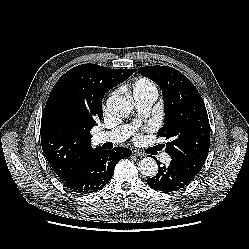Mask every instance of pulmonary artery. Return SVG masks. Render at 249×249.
Listing matches in <instances>:
<instances>
[{"instance_id": "e3ab8cb5", "label": "pulmonary artery", "mask_w": 249, "mask_h": 249, "mask_svg": "<svg viewBox=\"0 0 249 249\" xmlns=\"http://www.w3.org/2000/svg\"><path fill=\"white\" fill-rule=\"evenodd\" d=\"M136 100V106L138 111L145 113L150 109L152 104L158 98L157 90H149L141 93L134 94ZM132 132V126L122 125L114 128L110 131L99 132L94 136V142L96 144H103L106 142L120 143L126 140ZM161 161L164 163H169L171 161L170 155L164 153L161 155Z\"/></svg>"}]
</instances>
